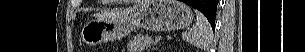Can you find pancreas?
Segmentation results:
<instances>
[{
    "instance_id": "obj_1",
    "label": "pancreas",
    "mask_w": 305,
    "mask_h": 52,
    "mask_svg": "<svg viewBox=\"0 0 305 52\" xmlns=\"http://www.w3.org/2000/svg\"><path fill=\"white\" fill-rule=\"evenodd\" d=\"M154 44L153 38L148 35H137L129 40L127 44V52H142L145 47L148 48Z\"/></svg>"
}]
</instances>
